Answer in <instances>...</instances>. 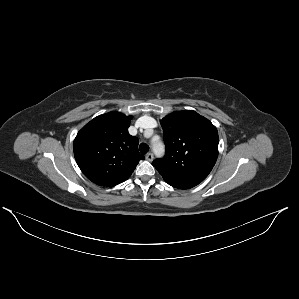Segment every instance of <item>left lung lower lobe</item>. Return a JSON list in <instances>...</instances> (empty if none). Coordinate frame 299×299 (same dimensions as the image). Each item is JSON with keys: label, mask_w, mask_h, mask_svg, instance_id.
Masks as SVG:
<instances>
[{"label": "left lung lower lobe", "mask_w": 299, "mask_h": 299, "mask_svg": "<svg viewBox=\"0 0 299 299\" xmlns=\"http://www.w3.org/2000/svg\"><path fill=\"white\" fill-rule=\"evenodd\" d=\"M168 184L179 189H189L194 187V185H182V184H172V183H168Z\"/></svg>", "instance_id": "obj_1"}]
</instances>
